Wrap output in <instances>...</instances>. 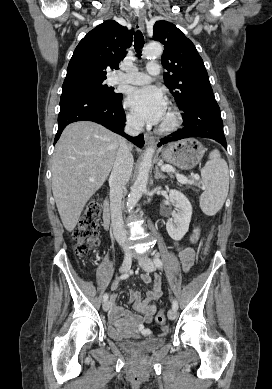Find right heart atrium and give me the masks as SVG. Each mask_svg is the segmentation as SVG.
Here are the masks:
<instances>
[{
    "mask_svg": "<svg viewBox=\"0 0 272 389\" xmlns=\"http://www.w3.org/2000/svg\"><path fill=\"white\" fill-rule=\"evenodd\" d=\"M127 120H128V123L130 125H132L133 127H139L141 124L139 119L137 118V116L133 113H129L127 115Z\"/></svg>",
    "mask_w": 272,
    "mask_h": 389,
    "instance_id": "d8ad5b80",
    "label": "right heart atrium"
}]
</instances>
